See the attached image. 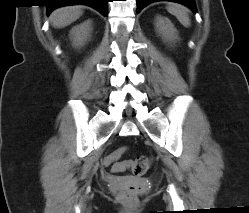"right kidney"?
I'll return each instance as SVG.
<instances>
[{
  "label": "right kidney",
  "mask_w": 249,
  "mask_h": 213,
  "mask_svg": "<svg viewBox=\"0 0 249 213\" xmlns=\"http://www.w3.org/2000/svg\"><path fill=\"white\" fill-rule=\"evenodd\" d=\"M92 31L91 20L84 21L83 23L76 25L70 31V38L74 47H82L87 42Z\"/></svg>",
  "instance_id": "1"
}]
</instances>
